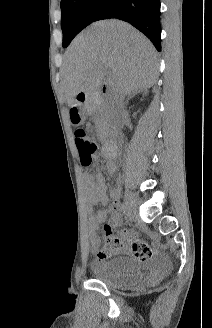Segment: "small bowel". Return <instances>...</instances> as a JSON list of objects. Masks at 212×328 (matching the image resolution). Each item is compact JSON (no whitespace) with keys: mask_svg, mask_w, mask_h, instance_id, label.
<instances>
[{"mask_svg":"<svg viewBox=\"0 0 212 328\" xmlns=\"http://www.w3.org/2000/svg\"><path fill=\"white\" fill-rule=\"evenodd\" d=\"M83 190L85 201L88 209L91 210L93 206L101 204L108 205L109 198L112 203L90 215L89 224L91 230V246L94 251L98 252L100 259L108 258L112 254H131L137 259H143L146 252L153 254V251L137 237V233L131 229L122 230L119 237L116 238L115 247L108 255H102L99 251L100 240L96 234L98 227L103 224L110 214L109 228H116L122 222L121 208L119 204V192L117 189H112L107 194V185L102 174L97 173L95 176L85 174L83 176Z\"/></svg>","mask_w":212,"mask_h":328,"instance_id":"1","label":"small bowel"}]
</instances>
